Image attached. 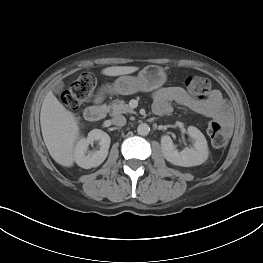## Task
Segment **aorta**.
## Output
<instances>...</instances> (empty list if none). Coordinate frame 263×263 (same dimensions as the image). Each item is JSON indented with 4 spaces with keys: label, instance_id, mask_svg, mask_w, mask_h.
Segmentation results:
<instances>
[{
    "label": "aorta",
    "instance_id": "obj_1",
    "mask_svg": "<svg viewBox=\"0 0 263 263\" xmlns=\"http://www.w3.org/2000/svg\"><path fill=\"white\" fill-rule=\"evenodd\" d=\"M137 132H138V134L141 135V136H146V135H148L149 132H150V127H149V125L146 124V123H141V124H139L138 127H137Z\"/></svg>",
    "mask_w": 263,
    "mask_h": 263
}]
</instances>
